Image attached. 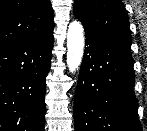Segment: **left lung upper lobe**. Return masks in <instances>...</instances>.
<instances>
[{"mask_svg": "<svg viewBox=\"0 0 147 131\" xmlns=\"http://www.w3.org/2000/svg\"><path fill=\"white\" fill-rule=\"evenodd\" d=\"M74 16L85 35L131 53L129 18L121 0H75Z\"/></svg>", "mask_w": 147, "mask_h": 131, "instance_id": "left-lung-upper-lobe-1", "label": "left lung upper lobe"}]
</instances>
